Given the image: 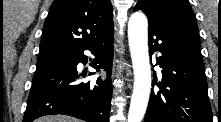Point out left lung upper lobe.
<instances>
[{"instance_id": "left-lung-upper-lobe-1", "label": "left lung upper lobe", "mask_w": 221, "mask_h": 122, "mask_svg": "<svg viewBox=\"0 0 221 122\" xmlns=\"http://www.w3.org/2000/svg\"><path fill=\"white\" fill-rule=\"evenodd\" d=\"M143 8L161 24L190 30L198 35L193 11L186 0H138L135 10Z\"/></svg>"}]
</instances>
